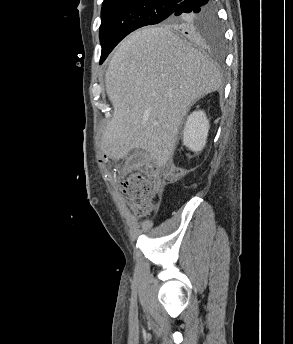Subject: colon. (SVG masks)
Listing matches in <instances>:
<instances>
[{"label":"colon","mask_w":293,"mask_h":344,"mask_svg":"<svg viewBox=\"0 0 293 344\" xmlns=\"http://www.w3.org/2000/svg\"><path fill=\"white\" fill-rule=\"evenodd\" d=\"M123 192L138 215H149L157 200V180L155 177L133 173L123 184Z\"/></svg>","instance_id":"obj_1"}]
</instances>
